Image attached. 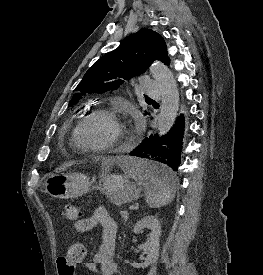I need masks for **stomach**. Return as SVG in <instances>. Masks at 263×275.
Wrapping results in <instances>:
<instances>
[{"instance_id":"stomach-1","label":"stomach","mask_w":263,"mask_h":275,"mask_svg":"<svg viewBox=\"0 0 263 275\" xmlns=\"http://www.w3.org/2000/svg\"><path fill=\"white\" fill-rule=\"evenodd\" d=\"M43 185L46 193L60 199L77 198L97 188L116 205H122L140 193V189L131 184L126 177L111 174L108 166L103 169L98 186H94L88 176L77 172L49 174Z\"/></svg>"}]
</instances>
